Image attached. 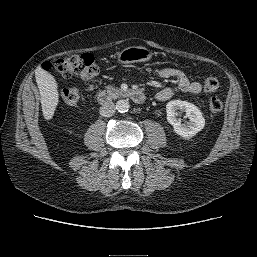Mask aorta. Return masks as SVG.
Returning <instances> with one entry per match:
<instances>
[{
	"mask_svg": "<svg viewBox=\"0 0 257 257\" xmlns=\"http://www.w3.org/2000/svg\"><path fill=\"white\" fill-rule=\"evenodd\" d=\"M129 108H130V104L126 99H121L116 102V110L120 113L127 112Z\"/></svg>",
	"mask_w": 257,
	"mask_h": 257,
	"instance_id": "obj_1",
	"label": "aorta"
}]
</instances>
